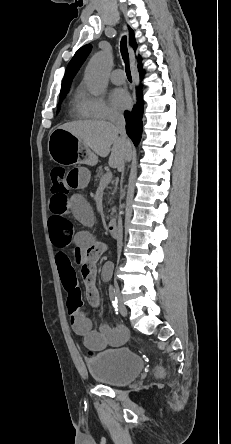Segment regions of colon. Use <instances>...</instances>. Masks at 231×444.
I'll use <instances>...</instances> for the list:
<instances>
[{
  "label": "colon",
  "instance_id": "obj_1",
  "mask_svg": "<svg viewBox=\"0 0 231 444\" xmlns=\"http://www.w3.org/2000/svg\"><path fill=\"white\" fill-rule=\"evenodd\" d=\"M67 173L61 166L53 167L51 170V193L52 197L65 198L70 189L66 182Z\"/></svg>",
  "mask_w": 231,
  "mask_h": 444
}]
</instances>
